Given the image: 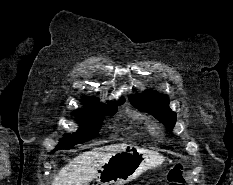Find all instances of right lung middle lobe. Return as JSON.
<instances>
[{
	"mask_svg": "<svg viewBox=\"0 0 233 185\" xmlns=\"http://www.w3.org/2000/svg\"><path fill=\"white\" fill-rule=\"evenodd\" d=\"M121 104L123 102H117L111 105L100 104L77 111V122L80 123L79 131L81 133L78 136L73 134L66 135L60 140L55 150L60 148L71 149L74 145L81 144L89 138L95 137L100 129L104 116L114 115L117 111V105Z\"/></svg>",
	"mask_w": 233,
	"mask_h": 185,
	"instance_id": "dd1d6c3e",
	"label": "right lung middle lobe"
}]
</instances>
